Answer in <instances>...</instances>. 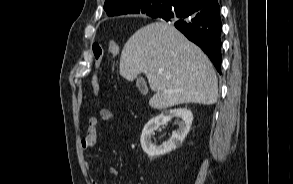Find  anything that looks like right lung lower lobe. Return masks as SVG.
<instances>
[{
    "label": "right lung lower lobe",
    "instance_id": "obj_1",
    "mask_svg": "<svg viewBox=\"0 0 293 184\" xmlns=\"http://www.w3.org/2000/svg\"><path fill=\"white\" fill-rule=\"evenodd\" d=\"M153 18L171 22L190 41L197 44L221 73L220 7L218 2L204 6L195 0H180Z\"/></svg>",
    "mask_w": 293,
    "mask_h": 184
}]
</instances>
